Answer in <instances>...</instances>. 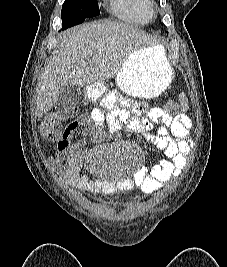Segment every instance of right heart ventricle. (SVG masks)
<instances>
[{
	"instance_id": "e07e8e85",
	"label": "right heart ventricle",
	"mask_w": 227,
	"mask_h": 267,
	"mask_svg": "<svg viewBox=\"0 0 227 267\" xmlns=\"http://www.w3.org/2000/svg\"><path fill=\"white\" fill-rule=\"evenodd\" d=\"M111 13L120 20L144 24L150 18L149 0H108Z\"/></svg>"
}]
</instances>
